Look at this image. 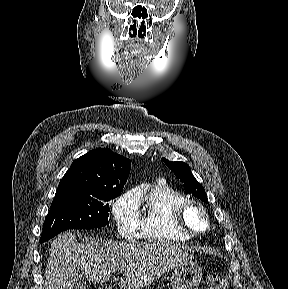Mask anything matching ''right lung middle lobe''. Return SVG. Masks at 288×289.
Here are the masks:
<instances>
[{
  "label": "right lung middle lobe",
  "instance_id": "right-lung-middle-lobe-1",
  "mask_svg": "<svg viewBox=\"0 0 288 289\" xmlns=\"http://www.w3.org/2000/svg\"><path fill=\"white\" fill-rule=\"evenodd\" d=\"M121 191L95 193L78 191L56 192L44 221L40 242L43 243L67 229H93L108 224L110 201Z\"/></svg>",
  "mask_w": 288,
  "mask_h": 289
}]
</instances>
